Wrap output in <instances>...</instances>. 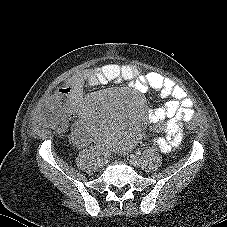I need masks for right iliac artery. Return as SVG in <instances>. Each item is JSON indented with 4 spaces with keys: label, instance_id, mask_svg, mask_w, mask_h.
I'll list each match as a JSON object with an SVG mask.
<instances>
[{
    "label": "right iliac artery",
    "instance_id": "1",
    "mask_svg": "<svg viewBox=\"0 0 227 227\" xmlns=\"http://www.w3.org/2000/svg\"><path fill=\"white\" fill-rule=\"evenodd\" d=\"M96 154H97V156H103L104 155V153L102 151H99Z\"/></svg>",
    "mask_w": 227,
    "mask_h": 227
}]
</instances>
